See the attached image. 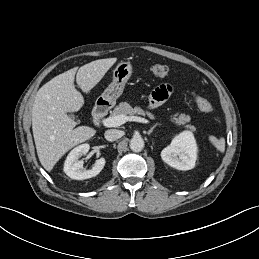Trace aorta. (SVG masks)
<instances>
[{
	"instance_id": "aorta-1",
	"label": "aorta",
	"mask_w": 259,
	"mask_h": 259,
	"mask_svg": "<svg viewBox=\"0 0 259 259\" xmlns=\"http://www.w3.org/2000/svg\"><path fill=\"white\" fill-rule=\"evenodd\" d=\"M144 140L141 136H134L131 140H130V149L134 152H140L143 150L144 148Z\"/></svg>"
}]
</instances>
